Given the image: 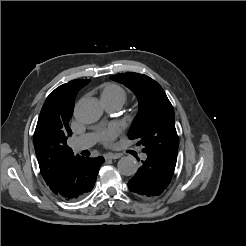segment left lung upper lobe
<instances>
[{
    "label": "left lung upper lobe",
    "instance_id": "5c2ea615",
    "mask_svg": "<svg viewBox=\"0 0 246 246\" xmlns=\"http://www.w3.org/2000/svg\"><path fill=\"white\" fill-rule=\"evenodd\" d=\"M110 78L130 88L139 100V112L130 127L129 139L138 140L144 153L176 165L178 136L174 110L162 87L150 77L133 72Z\"/></svg>",
    "mask_w": 246,
    "mask_h": 246
}]
</instances>
